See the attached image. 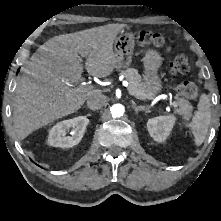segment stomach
I'll return each mask as SVG.
<instances>
[{
    "instance_id": "0dacf381",
    "label": "stomach",
    "mask_w": 221,
    "mask_h": 221,
    "mask_svg": "<svg viewBox=\"0 0 221 221\" xmlns=\"http://www.w3.org/2000/svg\"><path fill=\"white\" fill-rule=\"evenodd\" d=\"M135 46V34L129 31H121L115 39V67L117 69L126 68L132 61L133 50ZM144 63V80L150 88L153 96L162 91V81L158 75V69L162 63L161 54L154 50L148 49L143 57Z\"/></svg>"
}]
</instances>
